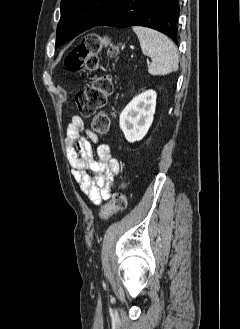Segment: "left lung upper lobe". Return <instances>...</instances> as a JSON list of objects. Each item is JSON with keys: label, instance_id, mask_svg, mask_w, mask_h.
Segmentation results:
<instances>
[{"label": "left lung upper lobe", "instance_id": "left-lung-upper-lobe-1", "mask_svg": "<svg viewBox=\"0 0 240 329\" xmlns=\"http://www.w3.org/2000/svg\"><path fill=\"white\" fill-rule=\"evenodd\" d=\"M119 0H62L55 47L94 27Z\"/></svg>", "mask_w": 240, "mask_h": 329}]
</instances>
